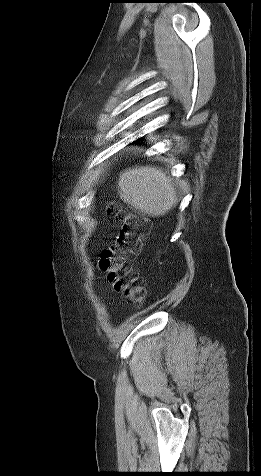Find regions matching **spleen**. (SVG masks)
Returning a JSON list of instances; mask_svg holds the SVG:
<instances>
[{
	"label": "spleen",
	"mask_w": 261,
	"mask_h": 476,
	"mask_svg": "<svg viewBox=\"0 0 261 476\" xmlns=\"http://www.w3.org/2000/svg\"><path fill=\"white\" fill-rule=\"evenodd\" d=\"M120 198L140 212L164 216L178 202V192L172 178L158 167L129 168L119 175Z\"/></svg>",
	"instance_id": "1"
}]
</instances>
